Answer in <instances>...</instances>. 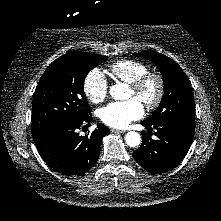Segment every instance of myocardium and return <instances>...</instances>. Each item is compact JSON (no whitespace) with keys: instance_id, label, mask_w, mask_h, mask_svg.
<instances>
[{"instance_id":"1","label":"myocardium","mask_w":221,"mask_h":221,"mask_svg":"<svg viewBox=\"0 0 221 221\" xmlns=\"http://www.w3.org/2000/svg\"><path fill=\"white\" fill-rule=\"evenodd\" d=\"M151 81L156 84V93L152 99L143 101V104L147 109H155L159 106L163 99L165 92V82L163 76L158 72L147 71L130 83V88L134 91V93L136 95H140L145 86Z\"/></svg>"}]
</instances>
